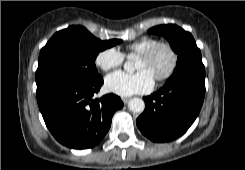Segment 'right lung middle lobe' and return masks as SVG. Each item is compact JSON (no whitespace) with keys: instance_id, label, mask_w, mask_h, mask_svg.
<instances>
[{"instance_id":"right-lung-middle-lobe-1","label":"right lung middle lobe","mask_w":245,"mask_h":170,"mask_svg":"<svg viewBox=\"0 0 245 170\" xmlns=\"http://www.w3.org/2000/svg\"><path fill=\"white\" fill-rule=\"evenodd\" d=\"M121 41H101L82 26H70L55 33L39 55L36 94L41 95L60 85L88 83L101 78L95 66L97 55Z\"/></svg>"}]
</instances>
